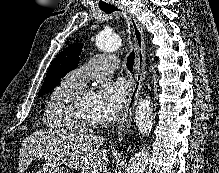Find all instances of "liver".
<instances>
[{"label": "liver", "mask_w": 219, "mask_h": 173, "mask_svg": "<svg viewBox=\"0 0 219 173\" xmlns=\"http://www.w3.org/2000/svg\"><path fill=\"white\" fill-rule=\"evenodd\" d=\"M104 139L96 135L56 137L49 131H37L28 136L20 150L19 171L23 172L35 158H53L81 173H105L109 160L100 149Z\"/></svg>", "instance_id": "liver-1"}]
</instances>
